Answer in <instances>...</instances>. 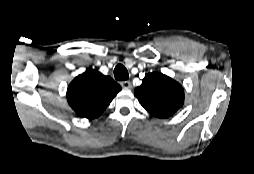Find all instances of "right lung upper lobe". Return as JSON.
Listing matches in <instances>:
<instances>
[{
  "label": "right lung upper lobe",
  "mask_w": 254,
  "mask_h": 174,
  "mask_svg": "<svg viewBox=\"0 0 254 174\" xmlns=\"http://www.w3.org/2000/svg\"><path fill=\"white\" fill-rule=\"evenodd\" d=\"M120 90V85L111 77L91 69L74 78L68 86L66 96L77 115L95 119Z\"/></svg>",
  "instance_id": "right-lung-upper-lobe-1"
}]
</instances>
